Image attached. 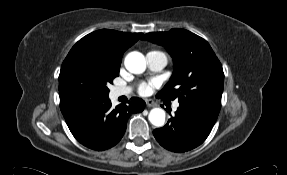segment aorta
I'll return each mask as SVG.
<instances>
[{
    "label": "aorta",
    "instance_id": "aorta-1",
    "mask_svg": "<svg viewBox=\"0 0 287 175\" xmlns=\"http://www.w3.org/2000/svg\"><path fill=\"white\" fill-rule=\"evenodd\" d=\"M124 64L126 69L134 74H141L146 69L145 57L137 51L128 53ZM148 118L152 125L162 127L165 123V111L162 108H154L150 111Z\"/></svg>",
    "mask_w": 287,
    "mask_h": 175
}]
</instances>
